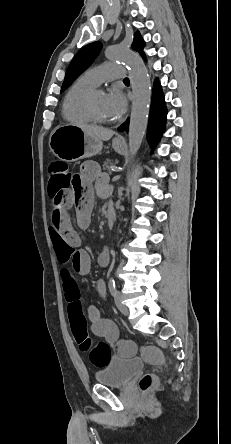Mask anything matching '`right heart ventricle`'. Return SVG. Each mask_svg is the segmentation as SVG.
Instances as JSON below:
<instances>
[{
    "mask_svg": "<svg viewBox=\"0 0 231 444\" xmlns=\"http://www.w3.org/2000/svg\"><path fill=\"white\" fill-rule=\"evenodd\" d=\"M95 88L96 85L84 76L73 83L66 93L62 105V114L67 121L75 124H90L93 122L87 112L86 102Z\"/></svg>",
    "mask_w": 231,
    "mask_h": 444,
    "instance_id": "right-heart-ventricle-1",
    "label": "right heart ventricle"
}]
</instances>
